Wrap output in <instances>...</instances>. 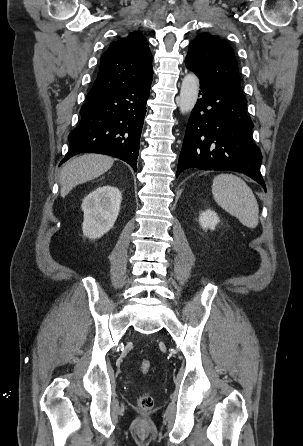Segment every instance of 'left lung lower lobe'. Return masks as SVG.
<instances>
[{
  "mask_svg": "<svg viewBox=\"0 0 303 446\" xmlns=\"http://www.w3.org/2000/svg\"><path fill=\"white\" fill-rule=\"evenodd\" d=\"M186 67L201 80V98L189 118L177 176L185 169L228 170L244 173L265 188L260 173L262 154L250 133L247 100L225 83Z\"/></svg>",
  "mask_w": 303,
  "mask_h": 446,
  "instance_id": "obj_1",
  "label": "left lung lower lobe"
}]
</instances>
